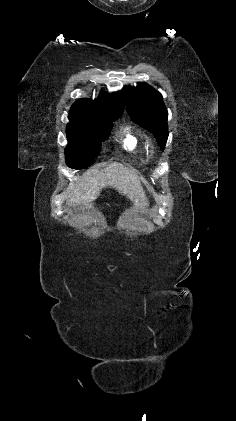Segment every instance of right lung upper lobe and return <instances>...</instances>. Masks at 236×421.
<instances>
[{
    "instance_id": "1",
    "label": "right lung upper lobe",
    "mask_w": 236,
    "mask_h": 421,
    "mask_svg": "<svg viewBox=\"0 0 236 421\" xmlns=\"http://www.w3.org/2000/svg\"><path fill=\"white\" fill-rule=\"evenodd\" d=\"M71 108L124 110V95L122 91L112 94L101 93L96 100L79 99Z\"/></svg>"
}]
</instances>
